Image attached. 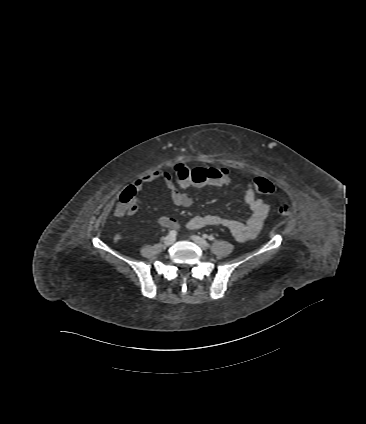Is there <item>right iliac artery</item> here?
Segmentation results:
<instances>
[{
	"label": "right iliac artery",
	"mask_w": 366,
	"mask_h": 424,
	"mask_svg": "<svg viewBox=\"0 0 366 424\" xmlns=\"http://www.w3.org/2000/svg\"><path fill=\"white\" fill-rule=\"evenodd\" d=\"M176 234H177V232L175 230H171L169 232V235H171V236H176Z\"/></svg>",
	"instance_id": "1"
}]
</instances>
